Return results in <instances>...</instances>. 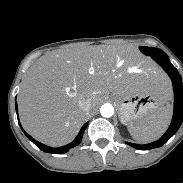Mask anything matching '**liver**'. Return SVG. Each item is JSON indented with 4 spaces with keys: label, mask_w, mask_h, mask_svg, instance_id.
I'll list each match as a JSON object with an SVG mask.
<instances>
[{
    "label": "liver",
    "mask_w": 183,
    "mask_h": 183,
    "mask_svg": "<svg viewBox=\"0 0 183 183\" xmlns=\"http://www.w3.org/2000/svg\"><path fill=\"white\" fill-rule=\"evenodd\" d=\"M133 65L143 67L147 75L137 79L126 72ZM137 92H153L163 103L171 98L167 76L131 47L87 46L52 52L35 61L23 79L20 119L36 140L62 146L74 139L85 118L80 98H90L92 109L110 93Z\"/></svg>",
    "instance_id": "liver-1"
}]
</instances>
